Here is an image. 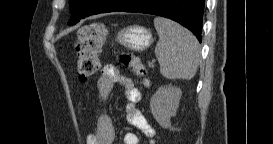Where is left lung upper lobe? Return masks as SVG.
I'll use <instances>...</instances> for the list:
<instances>
[{
    "instance_id": "left-lung-upper-lobe-1",
    "label": "left lung upper lobe",
    "mask_w": 273,
    "mask_h": 144,
    "mask_svg": "<svg viewBox=\"0 0 273 144\" xmlns=\"http://www.w3.org/2000/svg\"><path fill=\"white\" fill-rule=\"evenodd\" d=\"M69 2L72 16H77L90 10L96 3V0H70Z\"/></svg>"
}]
</instances>
